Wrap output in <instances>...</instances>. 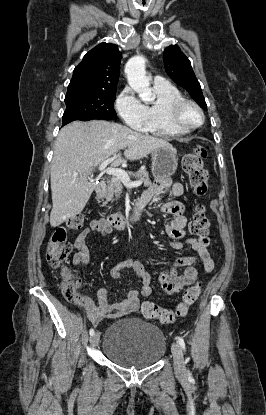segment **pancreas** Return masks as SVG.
Here are the masks:
<instances>
[{
  "label": "pancreas",
  "mask_w": 266,
  "mask_h": 415,
  "mask_svg": "<svg viewBox=\"0 0 266 415\" xmlns=\"http://www.w3.org/2000/svg\"><path fill=\"white\" fill-rule=\"evenodd\" d=\"M129 175L134 177L137 181H142L144 186L151 185L149 173L146 169H143L135 173L129 172ZM122 189V181L118 177L113 176L109 181H107L106 188L97 196V199H105V202H103V206H105L108 202H113L120 198ZM109 208H111V206H109Z\"/></svg>",
  "instance_id": "obj_1"
}]
</instances>
